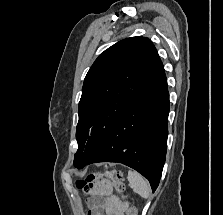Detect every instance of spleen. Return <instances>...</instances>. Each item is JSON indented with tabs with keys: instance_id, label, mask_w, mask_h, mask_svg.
I'll return each mask as SVG.
<instances>
[{
	"instance_id": "1",
	"label": "spleen",
	"mask_w": 223,
	"mask_h": 215,
	"mask_svg": "<svg viewBox=\"0 0 223 215\" xmlns=\"http://www.w3.org/2000/svg\"><path fill=\"white\" fill-rule=\"evenodd\" d=\"M129 185L133 187V191L142 195V197H149L150 185H148L146 179L137 173V171H128Z\"/></svg>"
}]
</instances>
